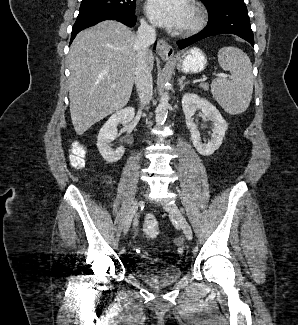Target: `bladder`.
Wrapping results in <instances>:
<instances>
[{"label": "bladder", "instance_id": "1", "mask_svg": "<svg viewBox=\"0 0 298 325\" xmlns=\"http://www.w3.org/2000/svg\"><path fill=\"white\" fill-rule=\"evenodd\" d=\"M136 276L148 286L161 289L176 283L181 277V271L174 267L152 266L137 272Z\"/></svg>", "mask_w": 298, "mask_h": 325}]
</instances>
